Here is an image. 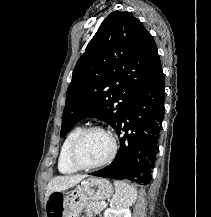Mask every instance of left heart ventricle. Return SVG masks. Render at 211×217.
I'll use <instances>...</instances> for the list:
<instances>
[{"mask_svg":"<svg viewBox=\"0 0 211 217\" xmlns=\"http://www.w3.org/2000/svg\"><path fill=\"white\" fill-rule=\"evenodd\" d=\"M111 140L102 131L89 132L81 142L78 158L84 164H95L104 160L111 151Z\"/></svg>","mask_w":211,"mask_h":217,"instance_id":"left-heart-ventricle-1","label":"left heart ventricle"}]
</instances>
